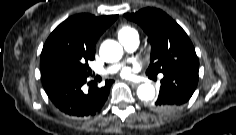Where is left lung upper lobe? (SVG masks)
Wrapping results in <instances>:
<instances>
[{"label": "left lung upper lobe", "instance_id": "1", "mask_svg": "<svg viewBox=\"0 0 236 135\" xmlns=\"http://www.w3.org/2000/svg\"><path fill=\"white\" fill-rule=\"evenodd\" d=\"M124 16L138 23L148 35L152 50L148 75L199 64L194 46L185 31L166 13L156 8H145Z\"/></svg>", "mask_w": 236, "mask_h": 135}]
</instances>
